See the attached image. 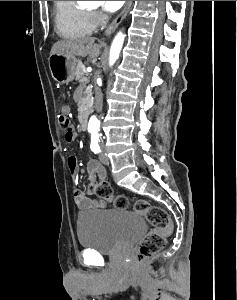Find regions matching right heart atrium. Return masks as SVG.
<instances>
[{"label": "right heart atrium", "mask_w": 237, "mask_h": 300, "mask_svg": "<svg viewBox=\"0 0 237 300\" xmlns=\"http://www.w3.org/2000/svg\"><path fill=\"white\" fill-rule=\"evenodd\" d=\"M103 20V17L100 13H93L92 14V25L93 28L97 27Z\"/></svg>", "instance_id": "right-heart-atrium-1"}]
</instances>
